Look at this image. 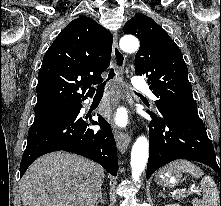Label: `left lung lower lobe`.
Listing matches in <instances>:
<instances>
[{
	"instance_id": "obj_1",
	"label": "left lung lower lobe",
	"mask_w": 221,
	"mask_h": 206,
	"mask_svg": "<svg viewBox=\"0 0 221 206\" xmlns=\"http://www.w3.org/2000/svg\"><path fill=\"white\" fill-rule=\"evenodd\" d=\"M150 115L153 119L149 126L147 178L173 160L189 159L212 167L220 175L221 183V158L218 166L213 145L198 116Z\"/></svg>"
}]
</instances>
